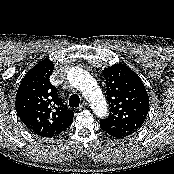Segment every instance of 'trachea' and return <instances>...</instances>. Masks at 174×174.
Masks as SVG:
<instances>
[{
	"instance_id": "3493384b",
	"label": "trachea",
	"mask_w": 174,
	"mask_h": 174,
	"mask_svg": "<svg viewBox=\"0 0 174 174\" xmlns=\"http://www.w3.org/2000/svg\"><path fill=\"white\" fill-rule=\"evenodd\" d=\"M80 97L77 94H72L69 98L70 107H79Z\"/></svg>"
}]
</instances>
